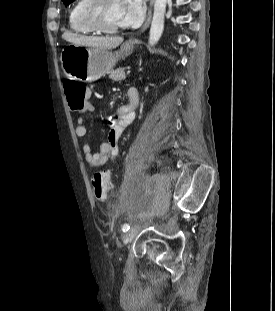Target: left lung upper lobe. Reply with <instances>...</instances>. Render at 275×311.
<instances>
[{"label":"left lung upper lobe","mask_w":275,"mask_h":311,"mask_svg":"<svg viewBox=\"0 0 275 311\" xmlns=\"http://www.w3.org/2000/svg\"><path fill=\"white\" fill-rule=\"evenodd\" d=\"M65 5L72 3L74 0H62Z\"/></svg>","instance_id":"1"}]
</instances>
